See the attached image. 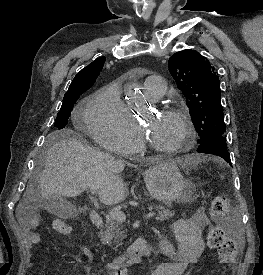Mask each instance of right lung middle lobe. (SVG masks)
I'll use <instances>...</instances> for the list:
<instances>
[{
  "label": "right lung middle lobe",
  "instance_id": "obj_1",
  "mask_svg": "<svg viewBox=\"0 0 263 275\" xmlns=\"http://www.w3.org/2000/svg\"><path fill=\"white\" fill-rule=\"evenodd\" d=\"M87 89H82L74 91L71 93H66L63 98V103L60 108V111L57 114L54 126L58 129H63L67 125V120L72 111L74 103L77 101L79 96L84 93Z\"/></svg>",
  "mask_w": 263,
  "mask_h": 275
}]
</instances>
